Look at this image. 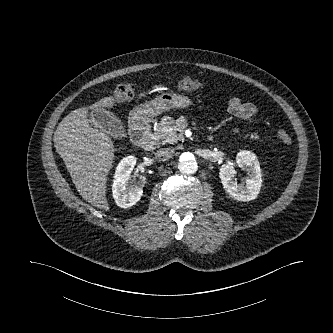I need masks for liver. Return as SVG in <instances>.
<instances>
[{
  "label": "liver",
  "instance_id": "1",
  "mask_svg": "<svg viewBox=\"0 0 333 333\" xmlns=\"http://www.w3.org/2000/svg\"><path fill=\"white\" fill-rule=\"evenodd\" d=\"M118 97H105L90 108H112ZM88 109H77L64 118L57 129L55 145L82 198L108 211L106 182L115 148L105 133L92 127Z\"/></svg>",
  "mask_w": 333,
  "mask_h": 333
}]
</instances>
